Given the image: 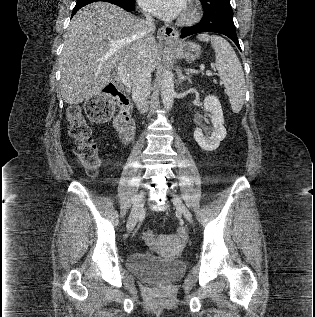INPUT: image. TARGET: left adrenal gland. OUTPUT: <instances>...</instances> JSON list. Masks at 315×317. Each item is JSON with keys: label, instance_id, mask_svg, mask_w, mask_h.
Here are the masks:
<instances>
[{"label": "left adrenal gland", "instance_id": "a2214340", "mask_svg": "<svg viewBox=\"0 0 315 317\" xmlns=\"http://www.w3.org/2000/svg\"><path fill=\"white\" fill-rule=\"evenodd\" d=\"M177 76H178V83L181 84L182 81L188 80V83H192L191 79L185 75H183L182 70H177Z\"/></svg>", "mask_w": 315, "mask_h": 317}]
</instances>
